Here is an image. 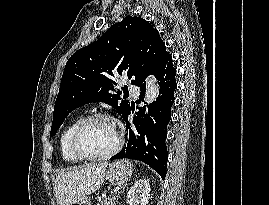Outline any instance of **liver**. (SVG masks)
Masks as SVG:
<instances>
[{
  "label": "liver",
  "mask_w": 269,
  "mask_h": 205,
  "mask_svg": "<svg viewBox=\"0 0 269 205\" xmlns=\"http://www.w3.org/2000/svg\"><path fill=\"white\" fill-rule=\"evenodd\" d=\"M107 162L90 164L79 170L62 172L55 179V191L60 205L95 192L104 182Z\"/></svg>",
  "instance_id": "liver-1"
}]
</instances>
